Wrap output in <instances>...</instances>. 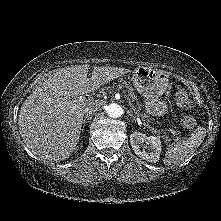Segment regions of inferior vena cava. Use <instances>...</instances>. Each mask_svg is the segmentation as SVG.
Instances as JSON below:
<instances>
[{
    "label": "inferior vena cava",
    "mask_w": 221,
    "mask_h": 221,
    "mask_svg": "<svg viewBox=\"0 0 221 221\" xmlns=\"http://www.w3.org/2000/svg\"><path fill=\"white\" fill-rule=\"evenodd\" d=\"M101 107V103L99 101H95L92 104H89L86 108H85V113L86 115H92L95 112H97Z\"/></svg>",
    "instance_id": "inferior-vena-cava-1"
}]
</instances>
